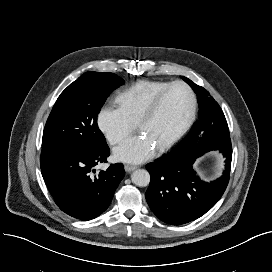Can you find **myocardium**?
Returning a JSON list of instances; mask_svg holds the SVG:
<instances>
[{"instance_id": "f54148a6", "label": "myocardium", "mask_w": 272, "mask_h": 272, "mask_svg": "<svg viewBox=\"0 0 272 272\" xmlns=\"http://www.w3.org/2000/svg\"><path fill=\"white\" fill-rule=\"evenodd\" d=\"M182 87L186 90L188 96H189V111L187 114V117L182 124V126L179 128V130L165 143L160 145L157 149L160 152L166 151L167 149L171 148L173 145H175L189 130L191 127L197 110V99L195 96L194 91L192 88L186 84L183 81H174L169 83L164 89H162L150 102V104L147 106V108L142 113L140 119L137 122V127L140 128L146 121H148L150 118H152L155 113L158 111L163 99L167 95V93L174 87Z\"/></svg>"}]
</instances>
